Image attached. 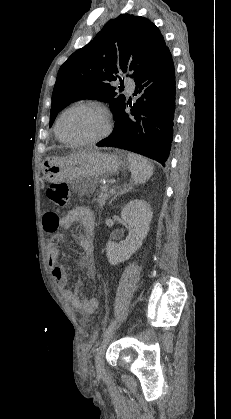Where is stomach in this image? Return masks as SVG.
<instances>
[{
  "instance_id": "0dacf381",
  "label": "stomach",
  "mask_w": 231,
  "mask_h": 419,
  "mask_svg": "<svg viewBox=\"0 0 231 419\" xmlns=\"http://www.w3.org/2000/svg\"><path fill=\"white\" fill-rule=\"evenodd\" d=\"M125 163L123 154L88 150L44 160L42 173L48 182L69 181L76 192L84 193L93 189L99 180L115 174Z\"/></svg>"
}]
</instances>
